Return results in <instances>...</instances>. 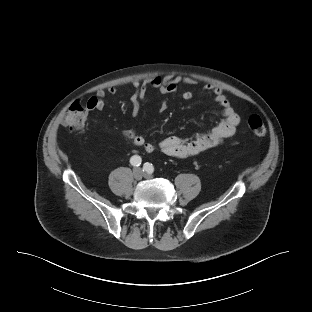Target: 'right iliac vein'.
<instances>
[{
    "label": "right iliac vein",
    "instance_id": "obj_1",
    "mask_svg": "<svg viewBox=\"0 0 312 312\" xmlns=\"http://www.w3.org/2000/svg\"><path fill=\"white\" fill-rule=\"evenodd\" d=\"M133 176L135 179L140 180L143 177V171L140 168H136L133 171Z\"/></svg>",
    "mask_w": 312,
    "mask_h": 312
}]
</instances>
